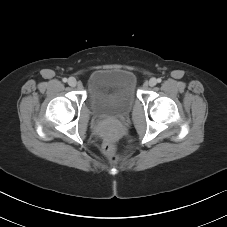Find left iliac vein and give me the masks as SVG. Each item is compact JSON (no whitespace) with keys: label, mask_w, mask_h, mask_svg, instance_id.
<instances>
[{"label":"left iliac vein","mask_w":227,"mask_h":227,"mask_svg":"<svg viewBox=\"0 0 227 227\" xmlns=\"http://www.w3.org/2000/svg\"><path fill=\"white\" fill-rule=\"evenodd\" d=\"M157 84V80L155 78H151L149 81H148V85L153 87Z\"/></svg>","instance_id":"obj_1"}]
</instances>
